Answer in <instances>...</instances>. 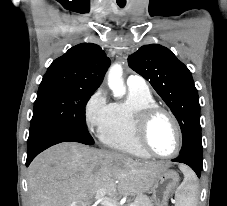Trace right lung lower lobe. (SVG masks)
Returning <instances> with one entry per match:
<instances>
[{
    "label": "right lung lower lobe",
    "instance_id": "1",
    "mask_svg": "<svg viewBox=\"0 0 227 206\" xmlns=\"http://www.w3.org/2000/svg\"><path fill=\"white\" fill-rule=\"evenodd\" d=\"M65 141L79 142L90 145L87 142L83 141L77 135L72 134L71 132L56 129L44 130L37 135L28 138L26 166H29L31 161L43 150L49 148L52 145Z\"/></svg>",
    "mask_w": 227,
    "mask_h": 206
}]
</instances>
